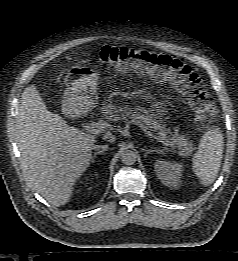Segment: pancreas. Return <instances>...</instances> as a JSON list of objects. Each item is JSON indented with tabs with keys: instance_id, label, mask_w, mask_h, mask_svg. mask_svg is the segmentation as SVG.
I'll return each instance as SVG.
<instances>
[{
	"instance_id": "pancreas-1",
	"label": "pancreas",
	"mask_w": 238,
	"mask_h": 261,
	"mask_svg": "<svg viewBox=\"0 0 238 261\" xmlns=\"http://www.w3.org/2000/svg\"><path fill=\"white\" fill-rule=\"evenodd\" d=\"M102 117L108 121L117 122L119 120L132 119L135 124L145 125L147 129L157 132L159 138L168 140L176 145L179 153L189 156L195 150L192 141L177 131L171 132L164 124L158 122L152 114L146 110H133L130 107H116L111 100L101 107Z\"/></svg>"
}]
</instances>
